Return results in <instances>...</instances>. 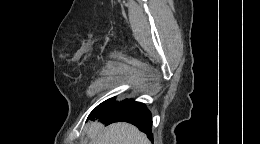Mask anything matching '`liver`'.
Segmentation results:
<instances>
[{
    "label": "liver",
    "mask_w": 260,
    "mask_h": 144,
    "mask_svg": "<svg viewBox=\"0 0 260 144\" xmlns=\"http://www.w3.org/2000/svg\"><path fill=\"white\" fill-rule=\"evenodd\" d=\"M92 144H150L144 133L129 123H114L108 127L96 121L88 130Z\"/></svg>",
    "instance_id": "obj_1"
}]
</instances>
